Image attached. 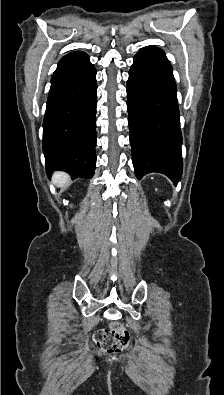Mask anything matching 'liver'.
<instances>
[{"label":"liver","mask_w":224,"mask_h":395,"mask_svg":"<svg viewBox=\"0 0 224 395\" xmlns=\"http://www.w3.org/2000/svg\"><path fill=\"white\" fill-rule=\"evenodd\" d=\"M68 181V175L63 172H56L53 176V182L56 186L61 187Z\"/></svg>","instance_id":"obj_1"}]
</instances>
